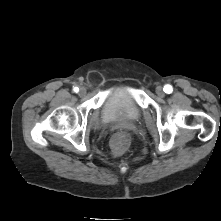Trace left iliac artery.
I'll return each instance as SVG.
<instances>
[{"label":"left iliac artery","mask_w":221,"mask_h":221,"mask_svg":"<svg viewBox=\"0 0 221 221\" xmlns=\"http://www.w3.org/2000/svg\"><path fill=\"white\" fill-rule=\"evenodd\" d=\"M173 91V88L171 85H165L164 86V92L167 94H170Z\"/></svg>","instance_id":"left-iliac-artery-1"}]
</instances>
